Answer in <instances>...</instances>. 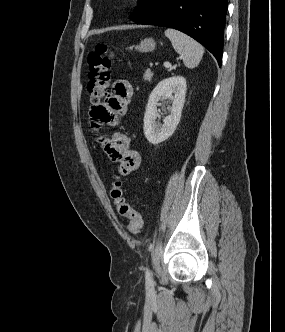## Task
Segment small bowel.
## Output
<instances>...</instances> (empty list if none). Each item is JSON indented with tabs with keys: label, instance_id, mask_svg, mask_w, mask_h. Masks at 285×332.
Returning a JSON list of instances; mask_svg holds the SVG:
<instances>
[{
	"label": "small bowel",
	"instance_id": "1",
	"mask_svg": "<svg viewBox=\"0 0 285 332\" xmlns=\"http://www.w3.org/2000/svg\"><path fill=\"white\" fill-rule=\"evenodd\" d=\"M132 95L133 88L127 80L115 81L105 102L90 108L92 126L115 125L121 121L127 113ZM101 143L108 158L119 164L122 174H130L140 167L141 156L131 148V138L127 133L117 131L110 138H102Z\"/></svg>",
	"mask_w": 285,
	"mask_h": 332
}]
</instances>
